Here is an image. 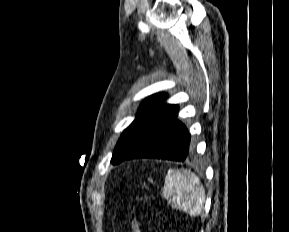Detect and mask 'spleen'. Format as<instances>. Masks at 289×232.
Instances as JSON below:
<instances>
[{
	"mask_svg": "<svg viewBox=\"0 0 289 232\" xmlns=\"http://www.w3.org/2000/svg\"><path fill=\"white\" fill-rule=\"evenodd\" d=\"M162 193L172 208L192 217L200 215L204 209L205 189L200 178L189 169L168 171Z\"/></svg>",
	"mask_w": 289,
	"mask_h": 232,
	"instance_id": "3e777b00",
	"label": "spleen"
}]
</instances>
